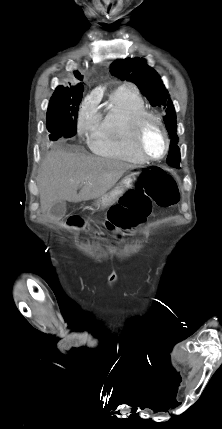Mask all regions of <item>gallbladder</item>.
<instances>
[{"label":"gallbladder","mask_w":222,"mask_h":429,"mask_svg":"<svg viewBox=\"0 0 222 429\" xmlns=\"http://www.w3.org/2000/svg\"><path fill=\"white\" fill-rule=\"evenodd\" d=\"M66 213V202L65 201H60L55 203L51 210H50V214L57 217V218H63V216Z\"/></svg>","instance_id":"gallbladder-1"}]
</instances>
